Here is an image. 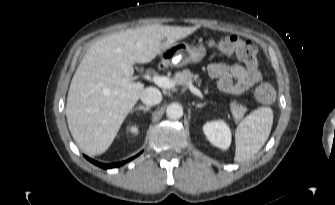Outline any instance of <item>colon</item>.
Listing matches in <instances>:
<instances>
[{
	"instance_id": "1",
	"label": "colon",
	"mask_w": 335,
	"mask_h": 205,
	"mask_svg": "<svg viewBox=\"0 0 335 205\" xmlns=\"http://www.w3.org/2000/svg\"><path fill=\"white\" fill-rule=\"evenodd\" d=\"M211 47L226 55H236L249 68H256L258 65L257 47L250 41L241 39L236 35L225 36L212 41ZM255 97L263 104H270L275 99V90L269 83H262L255 89Z\"/></svg>"
}]
</instances>
